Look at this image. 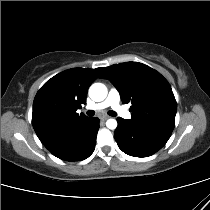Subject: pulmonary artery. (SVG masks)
Segmentation results:
<instances>
[{"instance_id":"obj_1","label":"pulmonary artery","mask_w":210,"mask_h":210,"mask_svg":"<svg viewBox=\"0 0 210 210\" xmlns=\"http://www.w3.org/2000/svg\"><path fill=\"white\" fill-rule=\"evenodd\" d=\"M107 107H111L122 118H125V119L131 118L130 112L121 106L120 95L116 89H112L109 92L105 101L98 103V104L88 106V109L100 110V109H104Z\"/></svg>"}]
</instances>
